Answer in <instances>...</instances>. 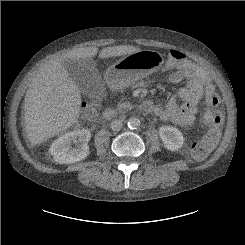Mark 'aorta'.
Wrapping results in <instances>:
<instances>
[{
    "label": "aorta",
    "instance_id": "1",
    "mask_svg": "<svg viewBox=\"0 0 245 245\" xmlns=\"http://www.w3.org/2000/svg\"><path fill=\"white\" fill-rule=\"evenodd\" d=\"M140 126V120L136 117H131L128 120V127L130 129H137Z\"/></svg>",
    "mask_w": 245,
    "mask_h": 245
}]
</instances>
